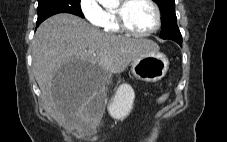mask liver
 Returning <instances> with one entry per match:
<instances>
[{"instance_id": "1", "label": "liver", "mask_w": 227, "mask_h": 142, "mask_svg": "<svg viewBox=\"0 0 227 142\" xmlns=\"http://www.w3.org/2000/svg\"><path fill=\"white\" fill-rule=\"evenodd\" d=\"M151 50H159L151 40L107 34L72 14L62 13L46 19L32 42V68L45 109L83 134L95 132L89 119L81 118L94 94L102 91L95 66L104 72L119 74L135 57ZM62 61H89V66L83 68L94 73V78L83 81L82 88H57L58 81H52V76Z\"/></svg>"}]
</instances>
